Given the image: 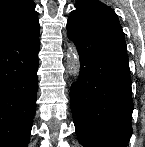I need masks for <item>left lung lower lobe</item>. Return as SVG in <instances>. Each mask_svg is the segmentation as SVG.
<instances>
[{
	"instance_id": "0a47b994",
	"label": "left lung lower lobe",
	"mask_w": 145,
	"mask_h": 147,
	"mask_svg": "<svg viewBox=\"0 0 145 147\" xmlns=\"http://www.w3.org/2000/svg\"><path fill=\"white\" fill-rule=\"evenodd\" d=\"M67 22L80 57L71 110L84 147H127L132 134L131 77L117 15L97 0H79Z\"/></svg>"
}]
</instances>
